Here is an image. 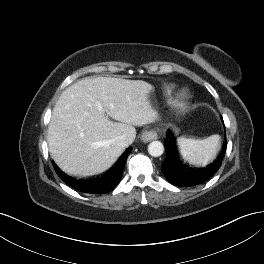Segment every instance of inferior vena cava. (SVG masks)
<instances>
[{
    "instance_id": "obj_1",
    "label": "inferior vena cava",
    "mask_w": 264,
    "mask_h": 264,
    "mask_svg": "<svg viewBox=\"0 0 264 264\" xmlns=\"http://www.w3.org/2000/svg\"><path fill=\"white\" fill-rule=\"evenodd\" d=\"M116 142L123 147H127L130 144L128 138L124 135L117 137Z\"/></svg>"
}]
</instances>
